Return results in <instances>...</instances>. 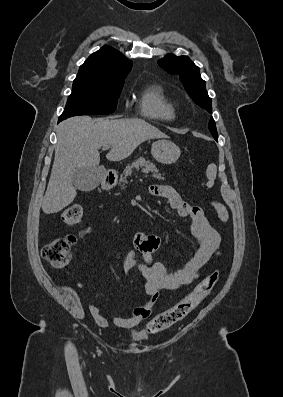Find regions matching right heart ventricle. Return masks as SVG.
Returning a JSON list of instances; mask_svg holds the SVG:
<instances>
[{
    "label": "right heart ventricle",
    "instance_id": "e07e8e85",
    "mask_svg": "<svg viewBox=\"0 0 283 397\" xmlns=\"http://www.w3.org/2000/svg\"><path fill=\"white\" fill-rule=\"evenodd\" d=\"M139 110L143 117L156 121H170L176 116L174 101L165 89L157 84L147 86L141 92Z\"/></svg>",
    "mask_w": 283,
    "mask_h": 397
}]
</instances>
